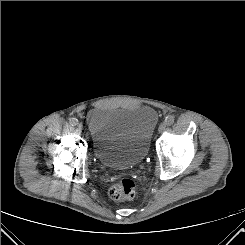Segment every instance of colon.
<instances>
[{
	"mask_svg": "<svg viewBox=\"0 0 245 245\" xmlns=\"http://www.w3.org/2000/svg\"><path fill=\"white\" fill-rule=\"evenodd\" d=\"M136 194V184L132 179H123L109 189V197L114 201H129Z\"/></svg>",
	"mask_w": 245,
	"mask_h": 245,
	"instance_id": "colon-1",
	"label": "colon"
}]
</instances>
